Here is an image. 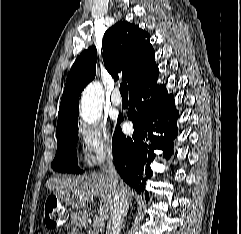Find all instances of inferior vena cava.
Returning a JSON list of instances; mask_svg holds the SVG:
<instances>
[{"instance_id":"obj_1","label":"inferior vena cava","mask_w":241,"mask_h":234,"mask_svg":"<svg viewBox=\"0 0 241 234\" xmlns=\"http://www.w3.org/2000/svg\"><path fill=\"white\" fill-rule=\"evenodd\" d=\"M107 164V172L114 185V201L108 218L106 234H120L121 226L129 207L127 190L114 167L111 153L108 154Z\"/></svg>"}]
</instances>
